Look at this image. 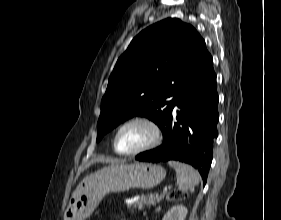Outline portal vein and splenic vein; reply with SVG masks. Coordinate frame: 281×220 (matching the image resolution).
<instances>
[{
  "instance_id": "obj_1",
  "label": "portal vein and splenic vein",
  "mask_w": 281,
  "mask_h": 220,
  "mask_svg": "<svg viewBox=\"0 0 281 220\" xmlns=\"http://www.w3.org/2000/svg\"><path fill=\"white\" fill-rule=\"evenodd\" d=\"M164 191H167V187L164 188Z\"/></svg>"
}]
</instances>
